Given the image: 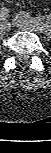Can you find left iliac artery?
I'll use <instances>...</instances> for the list:
<instances>
[{
	"mask_svg": "<svg viewBox=\"0 0 51 153\" xmlns=\"http://www.w3.org/2000/svg\"><path fill=\"white\" fill-rule=\"evenodd\" d=\"M21 15L24 17L25 20L32 22V23H38L43 25L44 27H51V15L47 16H39L37 18H32L28 13L26 12H20Z\"/></svg>",
	"mask_w": 51,
	"mask_h": 153,
	"instance_id": "44dca946",
	"label": "left iliac artery"
}]
</instances>
